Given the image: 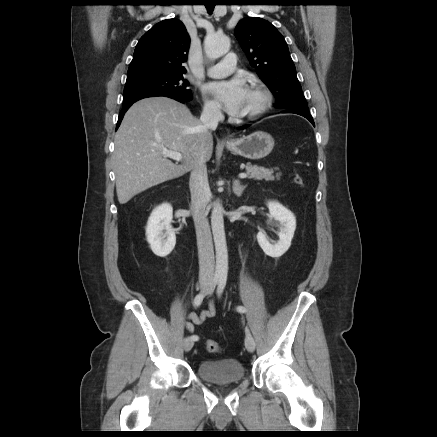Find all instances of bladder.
Instances as JSON below:
<instances>
[{"instance_id":"obj_1","label":"bladder","mask_w":437,"mask_h":437,"mask_svg":"<svg viewBox=\"0 0 437 437\" xmlns=\"http://www.w3.org/2000/svg\"><path fill=\"white\" fill-rule=\"evenodd\" d=\"M196 371L200 379L211 383L237 382L245 376L243 364L236 359L204 360Z\"/></svg>"}]
</instances>
